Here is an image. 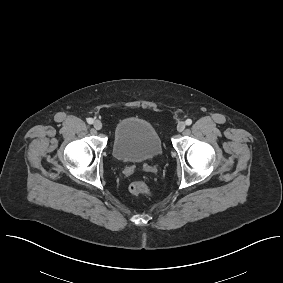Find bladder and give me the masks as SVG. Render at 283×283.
<instances>
[{
	"label": "bladder",
	"mask_w": 283,
	"mask_h": 283,
	"mask_svg": "<svg viewBox=\"0 0 283 283\" xmlns=\"http://www.w3.org/2000/svg\"><path fill=\"white\" fill-rule=\"evenodd\" d=\"M112 150L119 161L146 162L154 160L162 153V141L149 121L129 117L116 124Z\"/></svg>",
	"instance_id": "1"
}]
</instances>
